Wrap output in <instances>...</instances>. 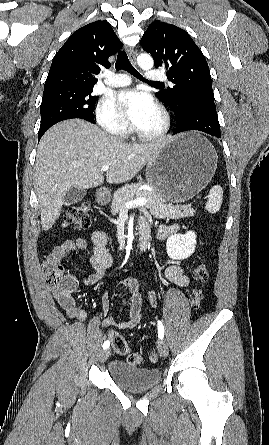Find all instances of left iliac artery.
<instances>
[{
  "mask_svg": "<svg viewBox=\"0 0 269 445\" xmlns=\"http://www.w3.org/2000/svg\"><path fill=\"white\" fill-rule=\"evenodd\" d=\"M158 336L160 339H163L164 337V326L160 320H158Z\"/></svg>",
  "mask_w": 269,
  "mask_h": 445,
  "instance_id": "obj_1",
  "label": "left iliac artery"
}]
</instances>
